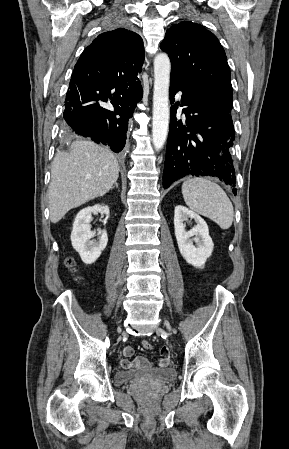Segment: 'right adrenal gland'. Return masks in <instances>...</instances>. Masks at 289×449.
<instances>
[{"mask_svg": "<svg viewBox=\"0 0 289 449\" xmlns=\"http://www.w3.org/2000/svg\"><path fill=\"white\" fill-rule=\"evenodd\" d=\"M114 187H115V188H118V183H117V181L114 182V186H113L111 189H113Z\"/></svg>", "mask_w": 289, "mask_h": 449, "instance_id": "right-adrenal-gland-1", "label": "right adrenal gland"}]
</instances>
